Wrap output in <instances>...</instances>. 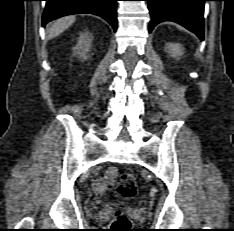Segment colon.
I'll use <instances>...</instances> for the list:
<instances>
[{
    "label": "colon",
    "instance_id": "1",
    "mask_svg": "<svg viewBox=\"0 0 234 231\" xmlns=\"http://www.w3.org/2000/svg\"><path fill=\"white\" fill-rule=\"evenodd\" d=\"M137 194V182L131 173H122L117 178V188L115 195L120 198L131 199ZM113 229L115 231H129L131 223L128 217L121 211H116L113 219Z\"/></svg>",
    "mask_w": 234,
    "mask_h": 231
}]
</instances>
